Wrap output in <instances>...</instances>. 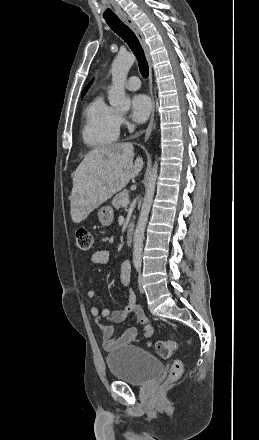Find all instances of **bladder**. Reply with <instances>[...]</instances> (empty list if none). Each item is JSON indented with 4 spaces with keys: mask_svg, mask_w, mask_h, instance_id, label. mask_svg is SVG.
Returning <instances> with one entry per match:
<instances>
[{
    "mask_svg": "<svg viewBox=\"0 0 259 440\" xmlns=\"http://www.w3.org/2000/svg\"><path fill=\"white\" fill-rule=\"evenodd\" d=\"M106 362L116 380L133 385L147 384L164 370L160 359L133 345L113 349L107 354Z\"/></svg>",
    "mask_w": 259,
    "mask_h": 440,
    "instance_id": "obj_1",
    "label": "bladder"
}]
</instances>
